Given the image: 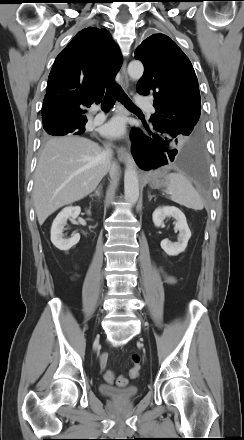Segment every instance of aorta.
I'll return each mask as SVG.
<instances>
[{
    "label": "aorta",
    "instance_id": "obj_1",
    "mask_svg": "<svg viewBox=\"0 0 244 440\" xmlns=\"http://www.w3.org/2000/svg\"><path fill=\"white\" fill-rule=\"evenodd\" d=\"M127 71L133 80L138 81L143 75L144 67L140 61L135 60L129 63ZM124 194L125 199L129 203L135 204L138 201L139 179L134 161L130 156L128 157L124 173Z\"/></svg>",
    "mask_w": 244,
    "mask_h": 440
}]
</instances>
